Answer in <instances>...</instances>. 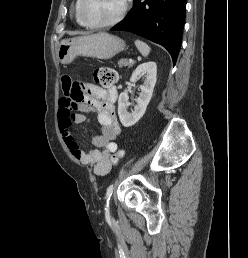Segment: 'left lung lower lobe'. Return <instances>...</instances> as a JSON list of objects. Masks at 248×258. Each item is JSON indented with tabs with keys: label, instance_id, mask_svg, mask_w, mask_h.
I'll return each mask as SVG.
<instances>
[{
	"label": "left lung lower lobe",
	"instance_id": "0a47b994",
	"mask_svg": "<svg viewBox=\"0 0 248 258\" xmlns=\"http://www.w3.org/2000/svg\"><path fill=\"white\" fill-rule=\"evenodd\" d=\"M186 0H133L127 16L111 28L162 45L176 63L185 22Z\"/></svg>",
	"mask_w": 248,
	"mask_h": 258
}]
</instances>
